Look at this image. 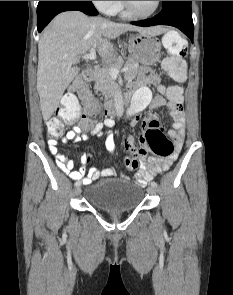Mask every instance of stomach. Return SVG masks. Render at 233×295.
Wrapping results in <instances>:
<instances>
[{"instance_id":"0dacf381","label":"stomach","mask_w":233,"mask_h":295,"mask_svg":"<svg viewBox=\"0 0 233 295\" xmlns=\"http://www.w3.org/2000/svg\"><path fill=\"white\" fill-rule=\"evenodd\" d=\"M128 49L132 58L144 65L156 64L161 55L160 42L154 34L147 32L130 34Z\"/></svg>"}]
</instances>
